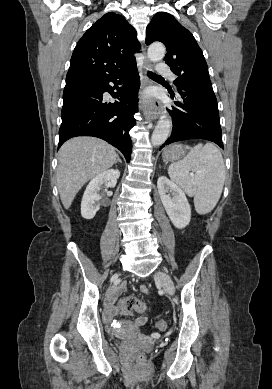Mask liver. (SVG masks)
<instances>
[{"mask_svg": "<svg viewBox=\"0 0 272 389\" xmlns=\"http://www.w3.org/2000/svg\"><path fill=\"white\" fill-rule=\"evenodd\" d=\"M115 149L95 137H76L59 150L57 186L62 204L69 209L82 186L116 163Z\"/></svg>", "mask_w": 272, "mask_h": 389, "instance_id": "liver-1", "label": "liver"}]
</instances>
